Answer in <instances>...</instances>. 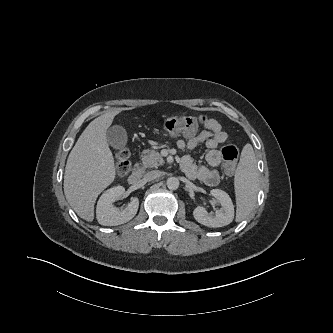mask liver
Wrapping results in <instances>:
<instances>
[{"mask_svg": "<svg viewBox=\"0 0 333 333\" xmlns=\"http://www.w3.org/2000/svg\"><path fill=\"white\" fill-rule=\"evenodd\" d=\"M121 111L116 108L91 121L67 159L64 194L77 215L88 222L94 219L97 197L116 177L106 134L114 117Z\"/></svg>", "mask_w": 333, "mask_h": 333, "instance_id": "obj_1", "label": "liver"}]
</instances>
